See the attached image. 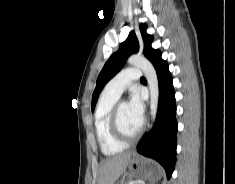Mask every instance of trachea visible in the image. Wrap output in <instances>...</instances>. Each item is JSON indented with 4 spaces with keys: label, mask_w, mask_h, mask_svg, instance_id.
<instances>
[{
    "label": "trachea",
    "mask_w": 235,
    "mask_h": 184,
    "mask_svg": "<svg viewBox=\"0 0 235 184\" xmlns=\"http://www.w3.org/2000/svg\"><path fill=\"white\" fill-rule=\"evenodd\" d=\"M141 81H146V79L144 78V77H141V79H140Z\"/></svg>",
    "instance_id": "1"
}]
</instances>
